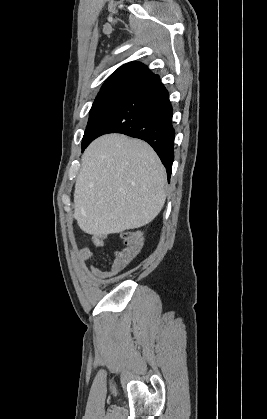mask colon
<instances>
[{
    "label": "colon",
    "mask_w": 267,
    "mask_h": 419,
    "mask_svg": "<svg viewBox=\"0 0 267 419\" xmlns=\"http://www.w3.org/2000/svg\"><path fill=\"white\" fill-rule=\"evenodd\" d=\"M122 247L114 253L113 260L119 269L125 267L133 260L143 246V237L138 230H128L121 235Z\"/></svg>",
    "instance_id": "colon-1"
}]
</instances>
